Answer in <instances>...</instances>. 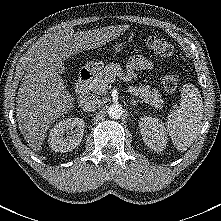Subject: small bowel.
I'll return each mask as SVG.
<instances>
[{
    "instance_id": "c3829d8e",
    "label": "small bowel",
    "mask_w": 221,
    "mask_h": 221,
    "mask_svg": "<svg viewBox=\"0 0 221 221\" xmlns=\"http://www.w3.org/2000/svg\"><path fill=\"white\" fill-rule=\"evenodd\" d=\"M126 67L128 74L130 76H134L135 71L152 70L154 68V63L150 59H147L143 56H133L128 60Z\"/></svg>"
}]
</instances>
